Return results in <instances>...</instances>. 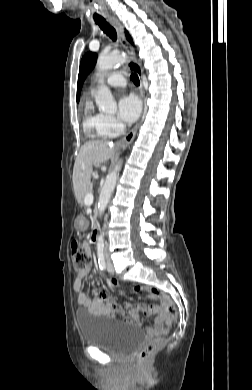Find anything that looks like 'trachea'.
Returning <instances> with one entry per match:
<instances>
[{
	"label": "trachea",
	"instance_id": "1",
	"mask_svg": "<svg viewBox=\"0 0 252 390\" xmlns=\"http://www.w3.org/2000/svg\"><path fill=\"white\" fill-rule=\"evenodd\" d=\"M95 23L98 24L101 30L106 33L113 41H116L117 34L115 29L110 24H108L104 18L95 19ZM131 79L135 85L140 84L138 75L132 74Z\"/></svg>",
	"mask_w": 252,
	"mask_h": 390
}]
</instances>
